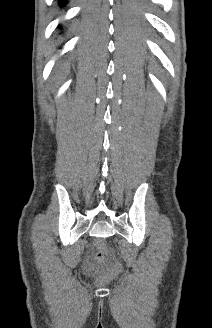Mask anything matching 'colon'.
<instances>
[{
  "instance_id": "colon-1",
  "label": "colon",
  "mask_w": 212,
  "mask_h": 328,
  "mask_svg": "<svg viewBox=\"0 0 212 328\" xmlns=\"http://www.w3.org/2000/svg\"><path fill=\"white\" fill-rule=\"evenodd\" d=\"M97 259L99 261L109 263L111 274H115L121 269V263L119 262V260L113 257L108 251V249L102 243H99Z\"/></svg>"
}]
</instances>
